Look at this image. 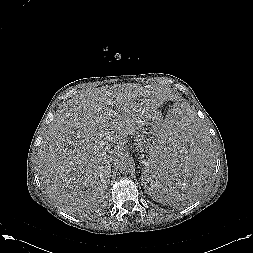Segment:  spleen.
Returning a JSON list of instances; mask_svg holds the SVG:
<instances>
[{
	"mask_svg": "<svg viewBox=\"0 0 253 253\" xmlns=\"http://www.w3.org/2000/svg\"><path fill=\"white\" fill-rule=\"evenodd\" d=\"M212 176L211 146L199 115L187 107L171 110L163 120L139 177L158 202L191 199Z\"/></svg>",
	"mask_w": 253,
	"mask_h": 253,
	"instance_id": "obj_1",
	"label": "spleen"
}]
</instances>
